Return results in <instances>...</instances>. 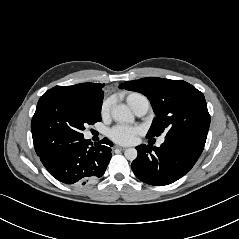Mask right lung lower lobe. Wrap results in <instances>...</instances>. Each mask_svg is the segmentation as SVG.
Returning a JSON list of instances; mask_svg holds the SVG:
<instances>
[{
  "mask_svg": "<svg viewBox=\"0 0 239 239\" xmlns=\"http://www.w3.org/2000/svg\"><path fill=\"white\" fill-rule=\"evenodd\" d=\"M106 145L95 144L82 135L59 137L36 151L41 162L57 180L65 184H86L101 177L112 157L108 139Z\"/></svg>",
  "mask_w": 239,
  "mask_h": 239,
  "instance_id": "obj_1",
  "label": "right lung lower lobe"
}]
</instances>
